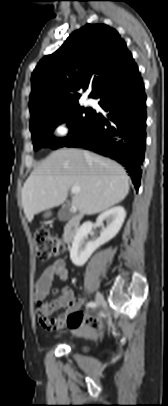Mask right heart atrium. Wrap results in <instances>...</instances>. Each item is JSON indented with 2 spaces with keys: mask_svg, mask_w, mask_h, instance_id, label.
I'll return each instance as SVG.
<instances>
[{
  "mask_svg": "<svg viewBox=\"0 0 168 406\" xmlns=\"http://www.w3.org/2000/svg\"><path fill=\"white\" fill-rule=\"evenodd\" d=\"M70 131V121L67 116L59 117L53 124V133L56 137H64Z\"/></svg>",
  "mask_w": 168,
  "mask_h": 406,
  "instance_id": "d8ad5b80",
  "label": "right heart atrium"
}]
</instances>
